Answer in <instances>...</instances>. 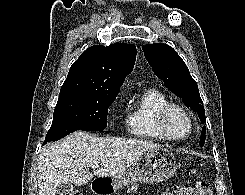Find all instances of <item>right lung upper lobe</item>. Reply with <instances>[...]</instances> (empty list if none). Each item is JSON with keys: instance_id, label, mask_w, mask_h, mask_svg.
<instances>
[{"instance_id": "1", "label": "right lung upper lobe", "mask_w": 245, "mask_h": 195, "mask_svg": "<svg viewBox=\"0 0 245 195\" xmlns=\"http://www.w3.org/2000/svg\"><path fill=\"white\" fill-rule=\"evenodd\" d=\"M136 59V46L114 43L88 48L70 67L60 93L92 91L117 95Z\"/></svg>"}]
</instances>
